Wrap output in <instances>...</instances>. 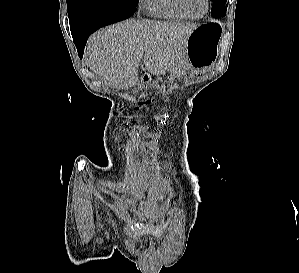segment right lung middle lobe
Returning <instances> with one entry per match:
<instances>
[{"mask_svg":"<svg viewBox=\"0 0 299 273\" xmlns=\"http://www.w3.org/2000/svg\"><path fill=\"white\" fill-rule=\"evenodd\" d=\"M139 0H67L68 15L81 9H97L101 7L136 8Z\"/></svg>","mask_w":299,"mask_h":273,"instance_id":"1","label":"right lung middle lobe"}]
</instances>
